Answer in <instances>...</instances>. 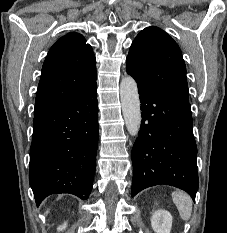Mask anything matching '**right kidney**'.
Returning <instances> with one entry per match:
<instances>
[{"mask_svg": "<svg viewBox=\"0 0 227 233\" xmlns=\"http://www.w3.org/2000/svg\"><path fill=\"white\" fill-rule=\"evenodd\" d=\"M66 227H67V223H64L63 225L59 226V227L57 228V230H58V231H62V230H64Z\"/></svg>", "mask_w": 227, "mask_h": 233, "instance_id": "1", "label": "right kidney"}]
</instances>
